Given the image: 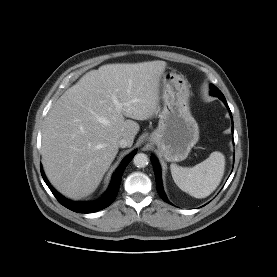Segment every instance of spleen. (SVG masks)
<instances>
[{"label": "spleen", "mask_w": 277, "mask_h": 277, "mask_svg": "<svg viewBox=\"0 0 277 277\" xmlns=\"http://www.w3.org/2000/svg\"><path fill=\"white\" fill-rule=\"evenodd\" d=\"M175 184L184 192L195 198L209 196L219 186L225 170V157L215 151L203 162L194 167L170 165Z\"/></svg>", "instance_id": "1"}]
</instances>
